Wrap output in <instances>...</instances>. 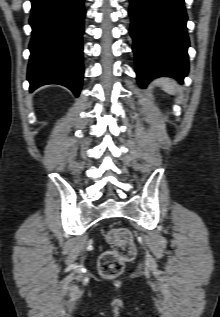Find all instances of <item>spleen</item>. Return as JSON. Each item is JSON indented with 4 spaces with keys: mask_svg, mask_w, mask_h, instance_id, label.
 Listing matches in <instances>:
<instances>
[{
    "mask_svg": "<svg viewBox=\"0 0 220 317\" xmlns=\"http://www.w3.org/2000/svg\"><path fill=\"white\" fill-rule=\"evenodd\" d=\"M156 83L161 85L168 93L175 94L177 91V84L172 79L160 78L156 80Z\"/></svg>",
    "mask_w": 220,
    "mask_h": 317,
    "instance_id": "1",
    "label": "spleen"
}]
</instances>
